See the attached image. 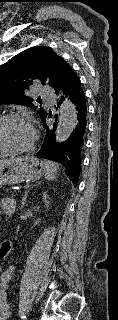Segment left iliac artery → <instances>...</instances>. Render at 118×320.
I'll list each match as a JSON object with an SVG mask.
<instances>
[{
  "instance_id": "1",
  "label": "left iliac artery",
  "mask_w": 118,
  "mask_h": 320,
  "mask_svg": "<svg viewBox=\"0 0 118 320\" xmlns=\"http://www.w3.org/2000/svg\"><path fill=\"white\" fill-rule=\"evenodd\" d=\"M21 319L26 320V316L24 315V313L21 314Z\"/></svg>"
}]
</instances>
